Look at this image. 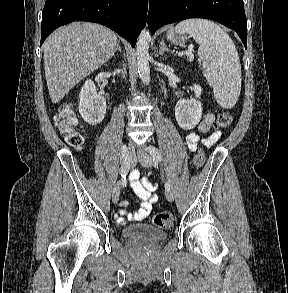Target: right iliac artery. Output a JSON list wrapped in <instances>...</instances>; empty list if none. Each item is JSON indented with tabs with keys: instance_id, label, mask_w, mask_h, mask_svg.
I'll list each match as a JSON object with an SVG mask.
<instances>
[{
	"instance_id": "82829eb1",
	"label": "right iliac artery",
	"mask_w": 288,
	"mask_h": 293,
	"mask_svg": "<svg viewBox=\"0 0 288 293\" xmlns=\"http://www.w3.org/2000/svg\"><path fill=\"white\" fill-rule=\"evenodd\" d=\"M128 152H129V147H122L121 149V168H120V172L121 170H129L130 166H129V156H128Z\"/></svg>"
}]
</instances>
